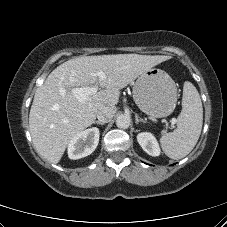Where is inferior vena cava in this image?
<instances>
[{"label": "inferior vena cava", "instance_id": "obj_1", "mask_svg": "<svg viewBox=\"0 0 227 227\" xmlns=\"http://www.w3.org/2000/svg\"><path fill=\"white\" fill-rule=\"evenodd\" d=\"M115 113V106H102L97 113V118L99 121L107 123L112 120Z\"/></svg>", "mask_w": 227, "mask_h": 227}]
</instances>
